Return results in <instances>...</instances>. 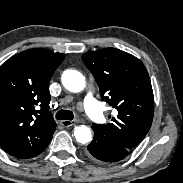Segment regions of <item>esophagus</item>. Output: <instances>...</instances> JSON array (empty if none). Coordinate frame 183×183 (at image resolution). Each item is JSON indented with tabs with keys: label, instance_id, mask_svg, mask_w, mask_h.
Returning a JSON list of instances; mask_svg holds the SVG:
<instances>
[{
	"label": "esophagus",
	"instance_id": "obj_1",
	"mask_svg": "<svg viewBox=\"0 0 183 183\" xmlns=\"http://www.w3.org/2000/svg\"><path fill=\"white\" fill-rule=\"evenodd\" d=\"M76 123H77V121H75V120H72V121L63 120V121L60 122V124L64 127H71V126H74Z\"/></svg>",
	"mask_w": 183,
	"mask_h": 183
}]
</instances>
